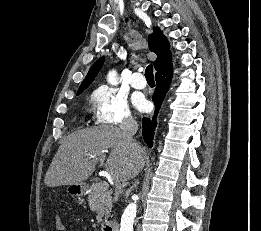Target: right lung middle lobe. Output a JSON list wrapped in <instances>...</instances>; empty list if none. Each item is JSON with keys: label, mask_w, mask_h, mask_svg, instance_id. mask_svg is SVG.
Here are the masks:
<instances>
[{"label": "right lung middle lobe", "mask_w": 261, "mask_h": 231, "mask_svg": "<svg viewBox=\"0 0 261 231\" xmlns=\"http://www.w3.org/2000/svg\"><path fill=\"white\" fill-rule=\"evenodd\" d=\"M82 91L78 92L77 94L79 95Z\"/></svg>", "instance_id": "obj_1"}]
</instances>
